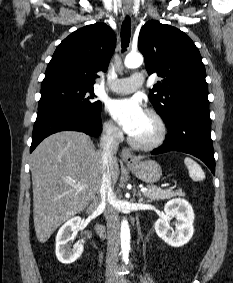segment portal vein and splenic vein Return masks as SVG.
Returning <instances> with one entry per match:
<instances>
[{"label":"portal vein and splenic vein","mask_w":233,"mask_h":283,"mask_svg":"<svg viewBox=\"0 0 233 283\" xmlns=\"http://www.w3.org/2000/svg\"><path fill=\"white\" fill-rule=\"evenodd\" d=\"M75 187L78 188V189H83V188H86L87 185L86 184H76ZM140 191L142 193H145V192L148 191V189L143 187V188L140 189Z\"/></svg>","instance_id":"18ae733b"}]
</instances>
